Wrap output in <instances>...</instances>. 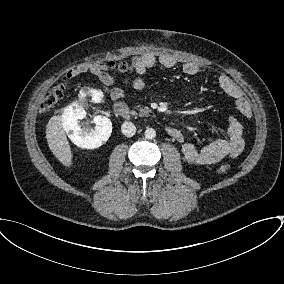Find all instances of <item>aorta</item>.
Masks as SVG:
<instances>
[{
    "label": "aorta",
    "instance_id": "1",
    "mask_svg": "<svg viewBox=\"0 0 284 284\" xmlns=\"http://www.w3.org/2000/svg\"><path fill=\"white\" fill-rule=\"evenodd\" d=\"M156 137V131L153 128H147L145 130V138L148 140L154 139Z\"/></svg>",
    "mask_w": 284,
    "mask_h": 284
}]
</instances>
